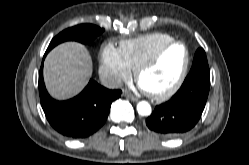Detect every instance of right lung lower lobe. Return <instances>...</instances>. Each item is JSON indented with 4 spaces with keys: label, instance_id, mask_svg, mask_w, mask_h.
Wrapping results in <instances>:
<instances>
[{
    "label": "right lung lower lobe",
    "instance_id": "obj_1",
    "mask_svg": "<svg viewBox=\"0 0 249 165\" xmlns=\"http://www.w3.org/2000/svg\"><path fill=\"white\" fill-rule=\"evenodd\" d=\"M47 53L48 51L44 58ZM38 86L41 105L48 122L57 132L70 138H85L96 132L105 123L112 102L121 96V90H109L90 80L76 97L57 101L50 97L45 88L43 61Z\"/></svg>",
    "mask_w": 249,
    "mask_h": 165
}]
</instances>
